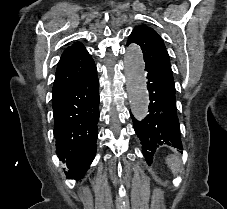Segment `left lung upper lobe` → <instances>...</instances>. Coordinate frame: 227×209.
Wrapping results in <instances>:
<instances>
[{
	"instance_id": "5c2ea615",
	"label": "left lung upper lobe",
	"mask_w": 227,
	"mask_h": 209,
	"mask_svg": "<svg viewBox=\"0 0 227 209\" xmlns=\"http://www.w3.org/2000/svg\"><path fill=\"white\" fill-rule=\"evenodd\" d=\"M130 43L141 47L146 68L156 70L174 84L168 52L162 38L154 29L146 25L136 26L128 37L127 45Z\"/></svg>"
}]
</instances>
